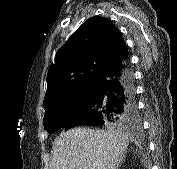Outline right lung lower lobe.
<instances>
[{
  "label": "right lung lower lobe",
  "mask_w": 177,
  "mask_h": 169,
  "mask_svg": "<svg viewBox=\"0 0 177 169\" xmlns=\"http://www.w3.org/2000/svg\"><path fill=\"white\" fill-rule=\"evenodd\" d=\"M94 82L96 92L90 105L61 128L103 126L137 118L135 79L128 54L102 70Z\"/></svg>",
  "instance_id": "obj_1"
}]
</instances>
